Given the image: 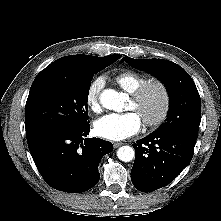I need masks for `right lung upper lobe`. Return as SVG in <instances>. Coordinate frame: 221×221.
Returning a JSON list of instances; mask_svg holds the SVG:
<instances>
[{
  "instance_id": "1",
  "label": "right lung upper lobe",
  "mask_w": 221,
  "mask_h": 221,
  "mask_svg": "<svg viewBox=\"0 0 221 221\" xmlns=\"http://www.w3.org/2000/svg\"><path fill=\"white\" fill-rule=\"evenodd\" d=\"M96 56L92 55H70L57 59L48 67H58L70 70L81 71L88 68Z\"/></svg>"
}]
</instances>
